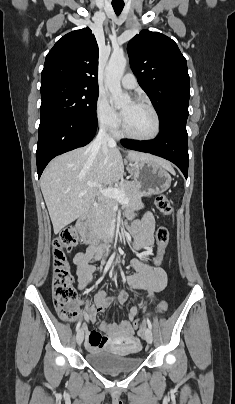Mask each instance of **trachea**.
Listing matches in <instances>:
<instances>
[{"label": "trachea", "mask_w": 235, "mask_h": 404, "mask_svg": "<svg viewBox=\"0 0 235 404\" xmlns=\"http://www.w3.org/2000/svg\"><path fill=\"white\" fill-rule=\"evenodd\" d=\"M112 6L117 15H119L124 8V4H112Z\"/></svg>", "instance_id": "trachea-1"}]
</instances>
